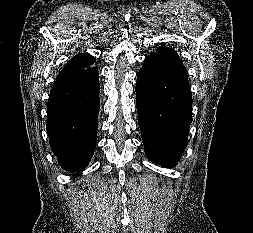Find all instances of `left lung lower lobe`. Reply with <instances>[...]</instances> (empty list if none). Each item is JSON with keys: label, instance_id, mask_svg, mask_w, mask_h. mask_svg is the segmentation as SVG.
Masks as SVG:
<instances>
[{"label": "left lung lower lobe", "instance_id": "0a47b994", "mask_svg": "<svg viewBox=\"0 0 253 233\" xmlns=\"http://www.w3.org/2000/svg\"><path fill=\"white\" fill-rule=\"evenodd\" d=\"M136 102L148 159L175 166L188 144L192 96L187 71L176 51L159 47L137 75Z\"/></svg>", "mask_w": 253, "mask_h": 233}]
</instances>
